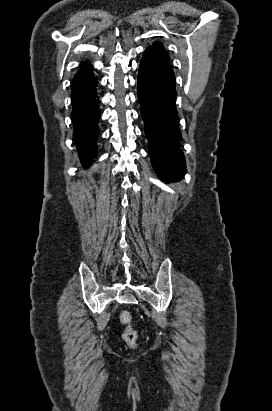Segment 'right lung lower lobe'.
<instances>
[{"label":"right lung lower lobe","mask_w":272,"mask_h":411,"mask_svg":"<svg viewBox=\"0 0 272 411\" xmlns=\"http://www.w3.org/2000/svg\"><path fill=\"white\" fill-rule=\"evenodd\" d=\"M97 79L94 77L85 85L72 89L73 137L78 146L81 162L88 167L97 157L96 141L99 136L100 118Z\"/></svg>","instance_id":"right-lung-lower-lobe-1"}]
</instances>
